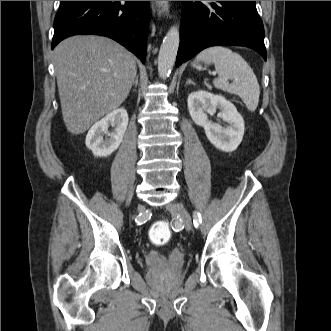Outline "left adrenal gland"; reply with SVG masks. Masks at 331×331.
<instances>
[{"label":"left adrenal gland","mask_w":331,"mask_h":331,"mask_svg":"<svg viewBox=\"0 0 331 331\" xmlns=\"http://www.w3.org/2000/svg\"><path fill=\"white\" fill-rule=\"evenodd\" d=\"M186 84H187V85H188V84H193V85H195V83H194L191 79H188L187 82H186Z\"/></svg>","instance_id":"left-adrenal-gland-1"}]
</instances>
